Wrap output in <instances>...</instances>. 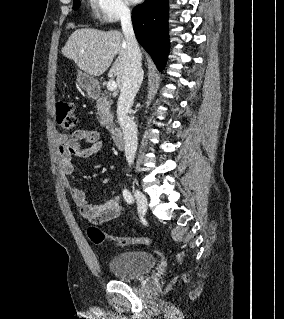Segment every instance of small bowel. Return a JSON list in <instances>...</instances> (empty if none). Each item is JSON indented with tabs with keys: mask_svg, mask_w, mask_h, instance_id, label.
<instances>
[{
	"mask_svg": "<svg viewBox=\"0 0 284 319\" xmlns=\"http://www.w3.org/2000/svg\"><path fill=\"white\" fill-rule=\"evenodd\" d=\"M58 141L60 167L64 176H70L74 172L73 158H88L103 148L99 133L95 130L79 129L70 134H60ZM68 185L80 215L88 222L100 225L113 221L121 215L123 210L121 200L114 191H111L110 199L103 200L101 194L98 200L91 204L80 188L70 185L69 182Z\"/></svg>",
	"mask_w": 284,
	"mask_h": 319,
	"instance_id": "small-bowel-1",
	"label": "small bowel"
}]
</instances>
